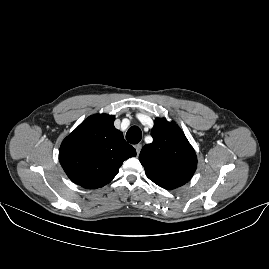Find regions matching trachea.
Returning a JSON list of instances; mask_svg holds the SVG:
<instances>
[{
    "mask_svg": "<svg viewBox=\"0 0 269 269\" xmlns=\"http://www.w3.org/2000/svg\"><path fill=\"white\" fill-rule=\"evenodd\" d=\"M142 133L137 126L131 127L126 133V139L129 143L137 144L141 141Z\"/></svg>",
    "mask_w": 269,
    "mask_h": 269,
    "instance_id": "trachea-1",
    "label": "trachea"
}]
</instances>
